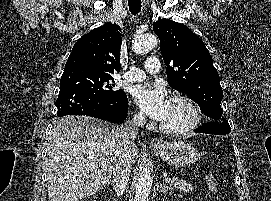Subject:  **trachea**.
<instances>
[{"mask_svg":"<svg viewBox=\"0 0 271 201\" xmlns=\"http://www.w3.org/2000/svg\"><path fill=\"white\" fill-rule=\"evenodd\" d=\"M129 10L132 14H138L141 10V0H128Z\"/></svg>","mask_w":271,"mask_h":201,"instance_id":"trachea-1","label":"trachea"}]
</instances>
